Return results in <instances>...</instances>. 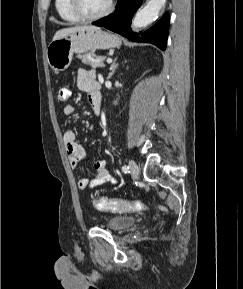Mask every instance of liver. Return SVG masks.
Segmentation results:
<instances>
[{
    "instance_id": "liver-1",
    "label": "liver",
    "mask_w": 243,
    "mask_h": 289,
    "mask_svg": "<svg viewBox=\"0 0 243 289\" xmlns=\"http://www.w3.org/2000/svg\"><path fill=\"white\" fill-rule=\"evenodd\" d=\"M79 29H99V28L95 27V26H75V27L63 28V29L58 30L55 33L52 41L60 39L64 36L68 35L69 33L76 31V30H79Z\"/></svg>"
}]
</instances>
